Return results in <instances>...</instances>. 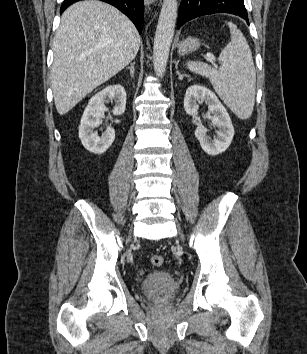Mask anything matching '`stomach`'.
I'll list each match as a JSON object with an SVG mask.
<instances>
[{
	"label": "stomach",
	"mask_w": 307,
	"mask_h": 354,
	"mask_svg": "<svg viewBox=\"0 0 307 354\" xmlns=\"http://www.w3.org/2000/svg\"><path fill=\"white\" fill-rule=\"evenodd\" d=\"M200 40L194 37H188L183 40L178 45V53L181 55H185L187 53H191L197 50L200 47Z\"/></svg>",
	"instance_id": "1"
}]
</instances>
